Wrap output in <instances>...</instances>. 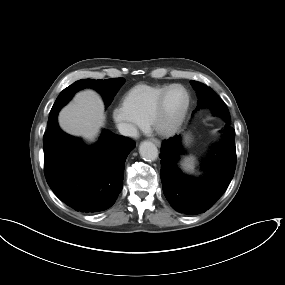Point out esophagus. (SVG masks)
<instances>
[{
  "mask_svg": "<svg viewBox=\"0 0 285 285\" xmlns=\"http://www.w3.org/2000/svg\"><path fill=\"white\" fill-rule=\"evenodd\" d=\"M151 141H152L153 143H155L158 147L161 146V142H160L158 139L152 138Z\"/></svg>",
  "mask_w": 285,
  "mask_h": 285,
  "instance_id": "1",
  "label": "esophagus"
}]
</instances>
